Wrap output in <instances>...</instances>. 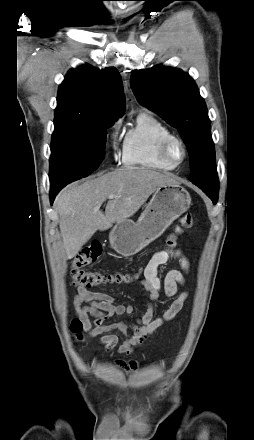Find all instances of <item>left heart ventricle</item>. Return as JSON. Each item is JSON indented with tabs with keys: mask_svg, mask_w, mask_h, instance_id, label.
<instances>
[{
	"mask_svg": "<svg viewBox=\"0 0 254 440\" xmlns=\"http://www.w3.org/2000/svg\"><path fill=\"white\" fill-rule=\"evenodd\" d=\"M171 155L176 161H179L181 159L182 151L178 145H173L171 149Z\"/></svg>",
	"mask_w": 254,
	"mask_h": 440,
	"instance_id": "obj_1",
	"label": "left heart ventricle"
}]
</instances>
